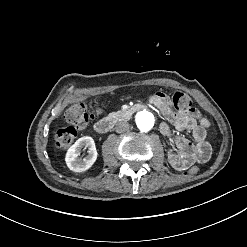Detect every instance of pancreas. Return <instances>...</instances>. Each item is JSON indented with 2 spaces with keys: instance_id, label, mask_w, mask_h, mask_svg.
I'll list each match as a JSON object with an SVG mask.
<instances>
[{
  "instance_id": "1",
  "label": "pancreas",
  "mask_w": 247,
  "mask_h": 247,
  "mask_svg": "<svg viewBox=\"0 0 247 247\" xmlns=\"http://www.w3.org/2000/svg\"><path fill=\"white\" fill-rule=\"evenodd\" d=\"M120 115H122V112L114 111V112H111L109 114L108 119L109 120H116Z\"/></svg>"
}]
</instances>
